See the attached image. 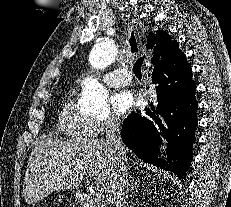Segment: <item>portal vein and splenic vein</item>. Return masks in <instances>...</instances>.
I'll list each match as a JSON object with an SVG mask.
<instances>
[{"instance_id": "1", "label": "portal vein and splenic vein", "mask_w": 231, "mask_h": 207, "mask_svg": "<svg viewBox=\"0 0 231 207\" xmlns=\"http://www.w3.org/2000/svg\"><path fill=\"white\" fill-rule=\"evenodd\" d=\"M84 176L87 178L88 174H84ZM93 192L96 194L98 199H101L104 195H103V190L100 188H97L95 190H93Z\"/></svg>"}]
</instances>
